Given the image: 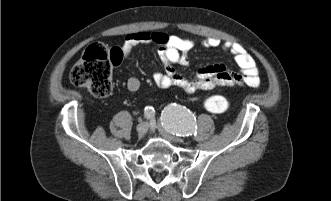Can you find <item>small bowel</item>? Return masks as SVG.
Returning a JSON list of instances; mask_svg holds the SVG:
<instances>
[{
    "label": "small bowel",
    "instance_id": "small-bowel-1",
    "mask_svg": "<svg viewBox=\"0 0 331 201\" xmlns=\"http://www.w3.org/2000/svg\"><path fill=\"white\" fill-rule=\"evenodd\" d=\"M158 44L159 57L164 71H156L153 80L161 88L172 86L183 89L188 94L198 90L212 89L215 86H249L258 87L260 84L259 70L254 58L239 43L222 42L218 38L207 37L199 44L205 48H222L231 53L238 65L240 72H234L222 64L207 65L200 68L196 76L188 80L181 76L174 65L187 66L189 64L187 53L198 43L187 38L169 35L163 32H133L125 36L121 52L125 58L129 56L133 48L141 44ZM140 80L131 76L126 86L128 91L136 92L140 88Z\"/></svg>",
    "mask_w": 331,
    "mask_h": 201
}]
</instances>
